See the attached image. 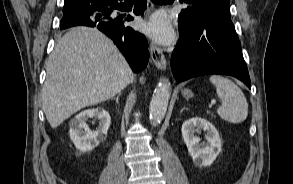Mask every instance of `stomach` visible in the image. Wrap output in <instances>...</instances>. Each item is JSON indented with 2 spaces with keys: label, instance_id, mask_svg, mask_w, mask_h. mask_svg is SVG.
<instances>
[{
  "label": "stomach",
  "instance_id": "0dacf381",
  "mask_svg": "<svg viewBox=\"0 0 293 184\" xmlns=\"http://www.w3.org/2000/svg\"><path fill=\"white\" fill-rule=\"evenodd\" d=\"M182 95H183L184 97H186V98H190V97L193 96V93L191 92V90H189V89H185V90L182 91Z\"/></svg>",
  "mask_w": 293,
  "mask_h": 184
}]
</instances>
